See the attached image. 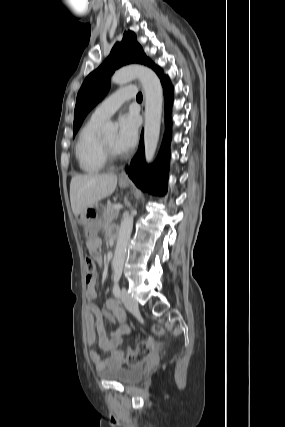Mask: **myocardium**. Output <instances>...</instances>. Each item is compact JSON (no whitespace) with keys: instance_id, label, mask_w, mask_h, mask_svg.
<instances>
[{"instance_id":"myocardium-1","label":"myocardium","mask_w":285,"mask_h":427,"mask_svg":"<svg viewBox=\"0 0 285 427\" xmlns=\"http://www.w3.org/2000/svg\"><path fill=\"white\" fill-rule=\"evenodd\" d=\"M101 151L104 160L107 162H115L123 158V155L115 151L105 140L101 137Z\"/></svg>"}]
</instances>
